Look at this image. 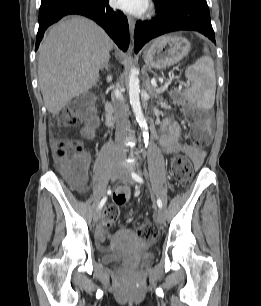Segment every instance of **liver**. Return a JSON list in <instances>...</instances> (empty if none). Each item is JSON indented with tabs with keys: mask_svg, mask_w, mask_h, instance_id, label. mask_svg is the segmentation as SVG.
Segmentation results:
<instances>
[{
	"mask_svg": "<svg viewBox=\"0 0 261 306\" xmlns=\"http://www.w3.org/2000/svg\"><path fill=\"white\" fill-rule=\"evenodd\" d=\"M113 41L95 22L75 16L54 25L39 50L38 76L46 109L56 114L92 88Z\"/></svg>",
	"mask_w": 261,
	"mask_h": 306,
	"instance_id": "obj_1",
	"label": "liver"
}]
</instances>
